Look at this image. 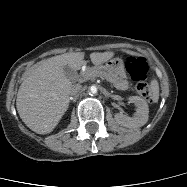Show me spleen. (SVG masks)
<instances>
[{
  "label": "spleen",
  "mask_w": 187,
  "mask_h": 187,
  "mask_svg": "<svg viewBox=\"0 0 187 187\" xmlns=\"http://www.w3.org/2000/svg\"><path fill=\"white\" fill-rule=\"evenodd\" d=\"M151 91H152L153 102L157 103L159 99V84L156 79H153L151 81Z\"/></svg>",
  "instance_id": "1"
}]
</instances>
